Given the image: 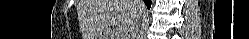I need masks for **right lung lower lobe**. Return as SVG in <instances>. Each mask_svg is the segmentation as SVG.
I'll list each match as a JSON object with an SVG mask.
<instances>
[{"label": "right lung lower lobe", "instance_id": "98d812e1", "mask_svg": "<svg viewBox=\"0 0 249 39\" xmlns=\"http://www.w3.org/2000/svg\"><path fill=\"white\" fill-rule=\"evenodd\" d=\"M145 4L147 5L148 8L151 6V0H144Z\"/></svg>", "mask_w": 249, "mask_h": 39}]
</instances>
